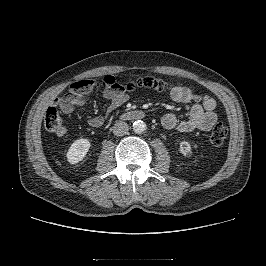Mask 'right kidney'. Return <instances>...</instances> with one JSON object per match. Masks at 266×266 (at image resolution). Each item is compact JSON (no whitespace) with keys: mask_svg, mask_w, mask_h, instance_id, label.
Returning a JSON list of instances; mask_svg holds the SVG:
<instances>
[{"mask_svg":"<svg viewBox=\"0 0 266 266\" xmlns=\"http://www.w3.org/2000/svg\"><path fill=\"white\" fill-rule=\"evenodd\" d=\"M90 146L91 144L88 139L81 138V139L75 140L71 144L66 154L68 162L71 164H76L82 161L85 155L87 154Z\"/></svg>","mask_w":266,"mask_h":266,"instance_id":"right-kidney-1","label":"right kidney"}]
</instances>
